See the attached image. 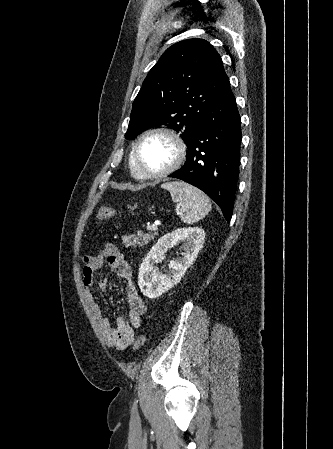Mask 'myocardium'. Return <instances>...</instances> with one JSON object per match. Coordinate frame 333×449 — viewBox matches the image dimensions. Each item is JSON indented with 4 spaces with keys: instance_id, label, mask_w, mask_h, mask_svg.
Here are the masks:
<instances>
[{
    "instance_id": "obj_1",
    "label": "myocardium",
    "mask_w": 333,
    "mask_h": 449,
    "mask_svg": "<svg viewBox=\"0 0 333 449\" xmlns=\"http://www.w3.org/2000/svg\"><path fill=\"white\" fill-rule=\"evenodd\" d=\"M150 136H163L165 138H168L173 146H174V158L172 162L164 169L157 171V172H146L141 166L140 157H139V151L140 146L143 143V141L150 137ZM187 154V148L186 144L183 141V139L173 130L167 129V128H150L145 130L140 134L138 139L136 140L133 149H132V155L134 159V163L137 169V172L139 174L140 179L143 180H156L163 177H166L170 175L171 173L175 172L185 161Z\"/></svg>"
}]
</instances>
